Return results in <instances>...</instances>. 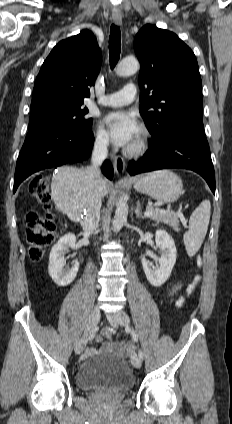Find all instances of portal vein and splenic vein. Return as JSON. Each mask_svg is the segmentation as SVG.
<instances>
[{
	"mask_svg": "<svg viewBox=\"0 0 232 424\" xmlns=\"http://www.w3.org/2000/svg\"><path fill=\"white\" fill-rule=\"evenodd\" d=\"M160 213H165V211L160 210ZM144 215H145L146 217H150L151 215H153V212H152V211H150V210H147V211L144 213ZM179 216H180V217H181V219H182V223H183V225H184V226H186V221L184 220L183 215L179 213Z\"/></svg>",
	"mask_w": 232,
	"mask_h": 424,
	"instance_id": "1",
	"label": "portal vein and splenic vein"
}]
</instances>
